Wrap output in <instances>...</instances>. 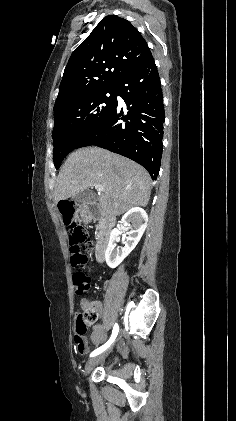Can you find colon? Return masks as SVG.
I'll list each match as a JSON object with an SVG mask.
<instances>
[{
	"label": "colon",
	"instance_id": "5ec220e1",
	"mask_svg": "<svg viewBox=\"0 0 236 421\" xmlns=\"http://www.w3.org/2000/svg\"><path fill=\"white\" fill-rule=\"evenodd\" d=\"M64 223L69 233L70 261L77 270L73 274L75 292L82 295L91 287L90 277L82 270L87 262L84 245L86 241V231L78 223V213L75 208L65 205L62 208ZM97 310L91 305H82L76 316V335L74 337L75 346L80 354H85L88 350L85 334L90 326L97 319Z\"/></svg>",
	"mask_w": 236,
	"mask_h": 421
}]
</instances>
